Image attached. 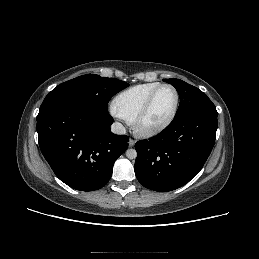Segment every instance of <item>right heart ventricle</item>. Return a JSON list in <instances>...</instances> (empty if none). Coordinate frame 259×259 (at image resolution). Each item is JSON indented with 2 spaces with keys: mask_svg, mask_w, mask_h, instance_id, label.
Instances as JSON below:
<instances>
[{
  "mask_svg": "<svg viewBox=\"0 0 259 259\" xmlns=\"http://www.w3.org/2000/svg\"><path fill=\"white\" fill-rule=\"evenodd\" d=\"M160 84L159 82H148L123 90L114 99L115 111L125 121L133 123L149 95Z\"/></svg>",
  "mask_w": 259,
  "mask_h": 259,
  "instance_id": "right-heart-ventricle-1",
  "label": "right heart ventricle"
}]
</instances>
